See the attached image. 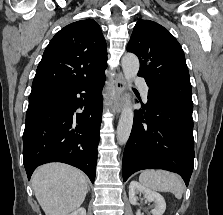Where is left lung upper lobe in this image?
I'll list each match as a JSON object with an SVG mask.
<instances>
[{
    "mask_svg": "<svg viewBox=\"0 0 223 215\" xmlns=\"http://www.w3.org/2000/svg\"><path fill=\"white\" fill-rule=\"evenodd\" d=\"M127 51L138 56V76L145 78L150 89L193 103L184 52L167 29L150 20H139Z\"/></svg>",
    "mask_w": 223,
    "mask_h": 215,
    "instance_id": "obj_1",
    "label": "left lung upper lobe"
}]
</instances>
